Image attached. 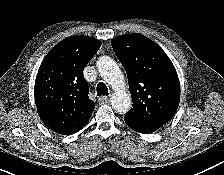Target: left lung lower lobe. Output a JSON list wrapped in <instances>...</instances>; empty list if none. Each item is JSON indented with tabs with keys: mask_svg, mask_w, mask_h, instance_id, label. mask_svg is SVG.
I'll return each instance as SVG.
<instances>
[{
	"mask_svg": "<svg viewBox=\"0 0 224 175\" xmlns=\"http://www.w3.org/2000/svg\"><path fill=\"white\" fill-rule=\"evenodd\" d=\"M125 123L131 129L143 134L152 133L162 126V124H140V123H135L128 120H125Z\"/></svg>",
	"mask_w": 224,
	"mask_h": 175,
	"instance_id": "1",
	"label": "left lung lower lobe"
}]
</instances>
